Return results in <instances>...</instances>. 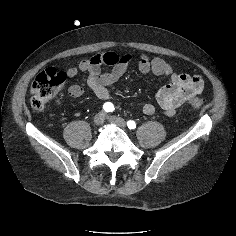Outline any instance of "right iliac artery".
I'll list each match as a JSON object with an SVG mask.
<instances>
[{"instance_id":"right-iliac-artery-1","label":"right iliac artery","mask_w":236,"mask_h":236,"mask_svg":"<svg viewBox=\"0 0 236 236\" xmlns=\"http://www.w3.org/2000/svg\"><path fill=\"white\" fill-rule=\"evenodd\" d=\"M103 109L105 112H112L114 111V106L112 103L110 102H106L104 105H103Z\"/></svg>"}]
</instances>
